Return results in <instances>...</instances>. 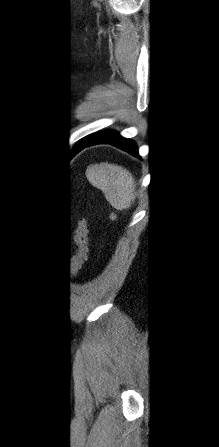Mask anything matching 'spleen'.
<instances>
[{
  "label": "spleen",
  "instance_id": "1",
  "mask_svg": "<svg viewBox=\"0 0 219 447\" xmlns=\"http://www.w3.org/2000/svg\"><path fill=\"white\" fill-rule=\"evenodd\" d=\"M89 182L100 189L116 209H127L135 199V181L131 173L115 164L100 163L88 167Z\"/></svg>",
  "mask_w": 219,
  "mask_h": 447
}]
</instances>
